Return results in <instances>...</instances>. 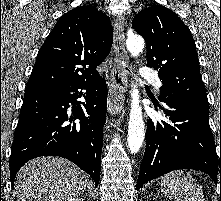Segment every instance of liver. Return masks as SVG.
I'll return each mask as SVG.
<instances>
[{"mask_svg": "<svg viewBox=\"0 0 221 201\" xmlns=\"http://www.w3.org/2000/svg\"><path fill=\"white\" fill-rule=\"evenodd\" d=\"M87 186L88 177L79 167L52 156L29 161L15 178L18 201H66L78 197Z\"/></svg>", "mask_w": 221, "mask_h": 201, "instance_id": "1", "label": "liver"}]
</instances>
